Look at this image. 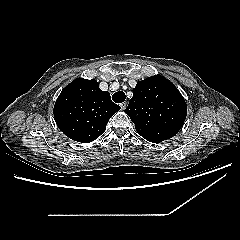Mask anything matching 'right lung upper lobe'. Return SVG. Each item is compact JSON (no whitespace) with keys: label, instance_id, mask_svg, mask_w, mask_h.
Listing matches in <instances>:
<instances>
[{"label":"right lung upper lobe","instance_id":"obj_1","mask_svg":"<svg viewBox=\"0 0 240 240\" xmlns=\"http://www.w3.org/2000/svg\"><path fill=\"white\" fill-rule=\"evenodd\" d=\"M120 106L111 101L96 80L78 78L67 85L56 100L57 126L70 139L89 143L104 133L106 124Z\"/></svg>","mask_w":240,"mask_h":240}]
</instances>
